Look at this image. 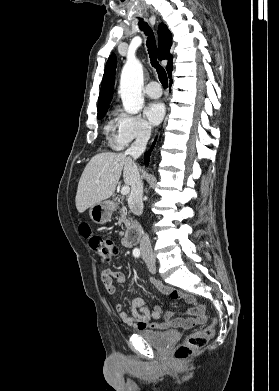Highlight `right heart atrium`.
Instances as JSON below:
<instances>
[{
	"label": "right heart atrium",
	"mask_w": 279,
	"mask_h": 391,
	"mask_svg": "<svg viewBox=\"0 0 279 391\" xmlns=\"http://www.w3.org/2000/svg\"><path fill=\"white\" fill-rule=\"evenodd\" d=\"M113 135V147L122 150L133 142L145 141L151 133V126L141 116L123 111L117 113Z\"/></svg>",
	"instance_id": "1"
}]
</instances>
